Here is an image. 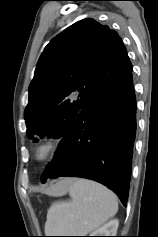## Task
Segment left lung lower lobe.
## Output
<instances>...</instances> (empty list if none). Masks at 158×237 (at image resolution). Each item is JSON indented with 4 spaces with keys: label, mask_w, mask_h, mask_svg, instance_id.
<instances>
[{
    "label": "left lung lower lobe",
    "mask_w": 158,
    "mask_h": 237,
    "mask_svg": "<svg viewBox=\"0 0 158 237\" xmlns=\"http://www.w3.org/2000/svg\"><path fill=\"white\" fill-rule=\"evenodd\" d=\"M136 134L132 70L97 93L78 113L43 176L95 180L126 206Z\"/></svg>",
    "instance_id": "left-lung-lower-lobe-1"
}]
</instances>
